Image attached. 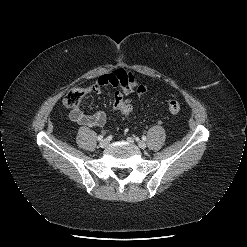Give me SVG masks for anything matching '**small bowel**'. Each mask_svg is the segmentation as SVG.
Masks as SVG:
<instances>
[{"instance_id": "small-bowel-1", "label": "small bowel", "mask_w": 247, "mask_h": 247, "mask_svg": "<svg viewBox=\"0 0 247 247\" xmlns=\"http://www.w3.org/2000/svg\"><path fill=\"white\" fill-rule=\"evenodd\" d=\"M105 86L119 87L125 95L134 93L140 95L146 90V87L138 82L132 72L122 68L116 69L109 74L101 75L95 82L93 89L96 93H100ZM70 118L74 122L87 127H101L107 120V116L103 111L85 114L79 109L71 110Z\"/></svg>"}]
</instances>
